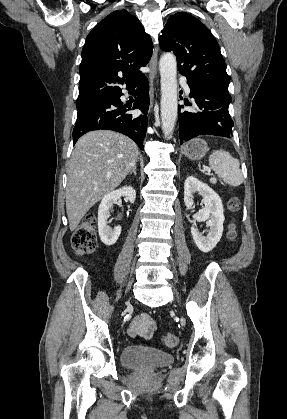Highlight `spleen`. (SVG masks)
I'll use <instances>...</instances> for the list:
<instances>
[{"instance_id": "1", "label": "spleen", "mask_w": 287, "mask_h": 419, "mask_svg": "<svg viewBox=\"0 0 287 419\" xmlns=\"http://www.w3.org/2000/svg\"><path fill=\"white\" fill-rule=\"evenodd\" d=\"M209 165L225 184L239 186L243 182L239 160L225 150H216L209 156Z\"/></svg>"}]
</instances>
